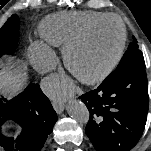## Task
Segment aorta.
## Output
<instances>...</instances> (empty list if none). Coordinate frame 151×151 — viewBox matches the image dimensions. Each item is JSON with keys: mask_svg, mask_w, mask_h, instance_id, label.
Segmentation results:
<instances>
[{"mask_svg": "<svg viewBox=\"0 0 151 151\" xmlns=\"http://www.w3.org/2000/svg\"><path fill=\"white\" fill-rule=\"evenodd\" d=\"M66 110L70 117L79 123L86 124L89 121L90 113L86 105L76 99H71L67 103Z\"/></svg>", "mask_w": 151, "mask_h": 151, "instance_id": "aorta-1", "label": "aorta"}]
</instances>
